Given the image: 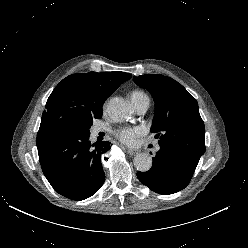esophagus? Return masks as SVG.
Segmentation results:
<instances>
[{
    "instance_id": "obj_1",
    "label": "esophagus",
    "mask_w": 248,
    "mask_h": 248,
    "mask_svg": "<svg viewBox=\"0 0 248 248\" xmlns=\"http://www.w3.org/2000/svg\"><path fill=\"white\" fill-rule=\"evenodd\" d=\"M127 153L129 154V155H135V154H137L138 153V150H134V149H130V148H128L127 149Z\"/></svg>"
}]
</instances>
